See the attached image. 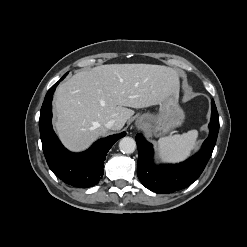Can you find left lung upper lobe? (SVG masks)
<instances>
[{"label": "left lung upper lobe", "mask_w": 247, "mask_h": 247, "mask_svg": "<svg viewBox=\"0 0 247 247\" xmlns=\"http://www.w3.org/2000/svg\"><path fill=\"white\" fill-rule=\"evenodd\" d=\"M215 115L218 116L217 111H216L215 113H213V117H212V115H211V120H213L214 118H216V121L219 122V116H218V117H215Z\"/></svg>", "instance_id": "5c2ea615"}]
</instances>
